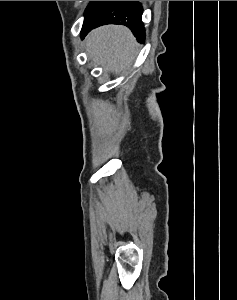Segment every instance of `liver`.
<instances>
[{
    "label": "liver",
    "instance_id": "6515ba94",
    "mask_svg": "<svg viewBox=\"0 0 237 300\" xmlns=\"http://www.w3.org/2000/svg\"><path fill=\"white\" fill-rule=\"evenodd\" d=\"M85 47L88 57L95 59L104 71L119 75L132 65L139 45L127 27L105 25L89 33Z\"/></svg>",
    "mask_w": 237,
    "mask_h": 300
}]
</instances>
